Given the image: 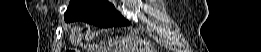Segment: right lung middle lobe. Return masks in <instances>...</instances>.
<instances>
[{"instance_id": "dd1d6c3e", "label": "right lung middle lobe", "mask_w": 261, "mask_h": 52, "mask_svg": "<svg viewBox=\"0 0 261 52\" xmlns=\"http://www.w3.org/2000/svg\"><path fill=\"white\" fill-rule=\"evenodd\" d=\"M64 18L66 22L81 20L98 27L129 24L107 0H71Z\"/></svg>"}]
</instances>
